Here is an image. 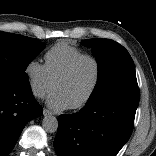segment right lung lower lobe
<instances>
[{
    "mask_svg": "<svg viewBox=\"0 0 156 156\" xmlns=\"http://www.w3.org/2000/svg\"><path fill=\"white\" fill-rule=\"evenodd\" d=\"M43 112L30 86L0 80V156L15 146L26 123Z\"/></svg>",
    "mask_w": 156,
    "mask_h": 156,
    "instance_id": "98d812e1",
    "label": "right lung lower lobe"
}]
</instances>
